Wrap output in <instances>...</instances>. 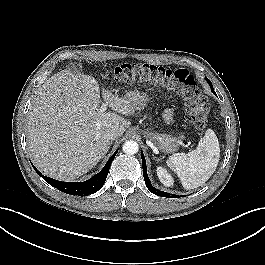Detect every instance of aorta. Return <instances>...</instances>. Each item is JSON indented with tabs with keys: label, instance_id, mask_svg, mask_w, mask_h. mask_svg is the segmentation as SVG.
<instances>
[{
	"label": "aorta",
	"instance_id": "obj_1",
	"mask_svg": "<svg viewBox=\"0 0 265 265\" xmlns=\"http://www.w3.org/2000/svg\"><path fill=\"white\" fill-rule=\"evenodd\" d=\"M139 150L138 143L133 140H128L123 144V151L126 154L133 155L136 154Z\"/></svg>",
	"mask_w": 265,
	"mask_h": 265
}]
</instances>
